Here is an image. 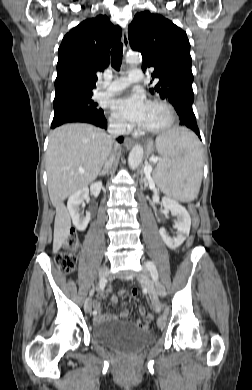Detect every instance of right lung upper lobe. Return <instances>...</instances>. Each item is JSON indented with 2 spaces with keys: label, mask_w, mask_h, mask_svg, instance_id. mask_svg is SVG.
<instances>
[{
  "label": "right lung upper lobe",
  "mask_w": 252,
  "mask_h": 390,
  "mask_svg": "<svg viewBox=\"0 0 252 390\" xmlns=\"http://www.w3.org/2000/svg\"><path fill=\"white\" fill-rule=\"evenodd\" d=\"M121 34L105 15L87 19L67 33L58 49L54 101L92 94L96 72L109 64V50Z\"/></svg>",
  "instance_id": "cb5924a9"
}]
</instances>
